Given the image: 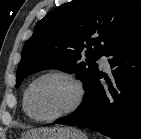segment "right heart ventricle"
<instances>
[{
    "label": "right heart ventricle",
    "instance_id": "1",
    "mask_svg": "<svg viewBox=\"0 0 141 139\" xmlns=\"http://www.w3.org/2000/svg\"><path fill=\"white\" fill-rule=\"evenodd\" d=\"M23 107H24V99H23ZM24 111H25V109H24Z\"/></svg>",
    "mask_w": 141,
    "mask_h": 139
}]
</instances>
